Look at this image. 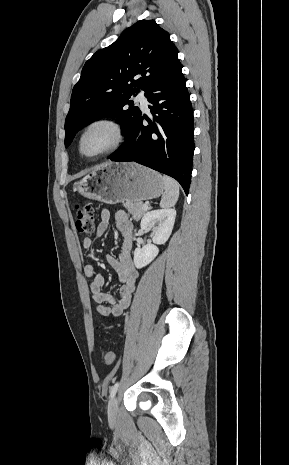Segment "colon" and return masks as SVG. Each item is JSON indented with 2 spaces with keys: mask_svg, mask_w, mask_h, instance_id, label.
<instances>
[{
  "mask_svg": "<svg viewBox=\"0 0 289 465\" xmlns=\"http://www.w3.org/2000/svg\"><path fill=\"white\" fill-rule=\"evenodd\" d=\"M76 219L75 225L79 233L92 235L95 231V211L92 205L88 202L84 204H76ZM104 362L111 365L115 361V355L110 350H105L103 354Z\"/></svg>",
  "mask_w": 289,
  "mask_h": 465,
  "instance_id": "1",
  "label": "colon"
}]
</instances>
